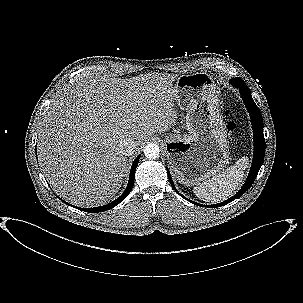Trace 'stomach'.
<instances>
[{
    "instance_id": "0dacf381",
    "label": "stomach",
    "mask_w": 303,
    "mask_h": 303,
    "mask_svg": "<svg viewBox=\"0 0 303 303\" xmlns=\"http://www.w3.org/2000/svg\"><path fill=\"white\" fill-rule=\"evenodd\" d=\"M173 89L175 102L187 112L188 134L167 136L165 150L176 179L193 186L222 172L229 162L220 95L205 72L179 76Z\"/></svg>"
}]
</instances>
